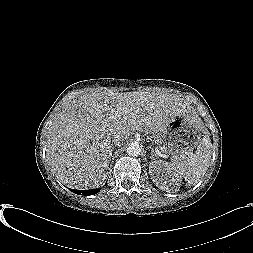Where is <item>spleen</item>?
Returning a JSON list of instances; mask_svg holds the SVG:
<instances>
[{
  "label": "spleen",
  "mask_w": 253,
  "mask_h": 253,
  "mask_svg": "<svg viewBox=\"0 0 253 253\" xmlns=\"http://www.w3.org/2000/svg\"><path fill=\"white\" fill-rule=\"evenodd\" d=\"M201 127L205 135L196 152L188 157H176L171 161V167L191 184L197 182L206 173L211 159V140L203 122Z\"/></svg>",
  "instance_id": "1"
}]
</instances>
